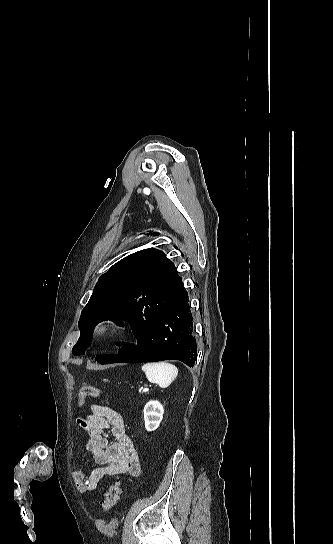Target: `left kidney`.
I'll return each mask as SVG.
<instances>
[{
    "mask_svg": "<svg viewBox=\"0 0 333 544\" xmlns=\"http://www.w3.org/2000/svg\"><path fill=\"white\" fill-rule=\"evenodd\" d=\"M143 412L146 430L149 432L156 430L163 419L162 404L157 400H151L145 405Z\"/></svg>",
    "mask_w": 333,
    "mask_h": 544,
    "instance_id": "left-kidney-1",
    "label": "left kidney"
}]
</instances>
